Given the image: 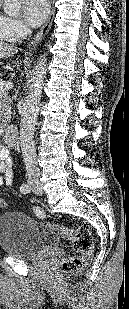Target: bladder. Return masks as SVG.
Wrapping results in <instances>:
<instances>
[{"label": "bladder", "mask_w": 129, "mask_h": 309, "mask_svg": "<svg viewBox=\"0 0 129 309\" xmlns=\"http://www.w3.org/2000/svg\"><path fill=\"white\" fill-rule=\"evenodd\" d=\"M57 246V234L49 224L17 211L0 215V247L7 255L32 259Z\"/></svg>", "instance_id": "obj_1"}]
</instances>
